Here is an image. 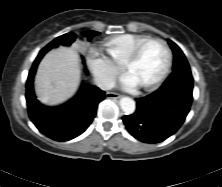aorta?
Here are the masks:
<instances>
[{"label": "aorta", "instance_id": "obj_1", "mask_svg": "<svg viewBox=\"0 0 222 187\" xmlns=\"http://www.w3.org/2000/svg\"><path fill=\"white\" fill-rule=\"evenodd\" d=\"M120 108L125 114H132L135 111V101L129 97L121 98Z\"/></svg>", "mask_w": 222, "mask_h": 187}]
</instances>
